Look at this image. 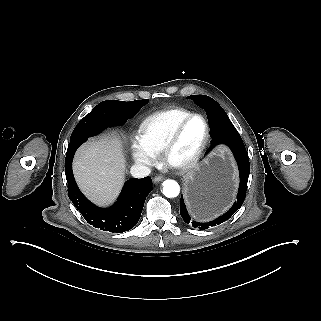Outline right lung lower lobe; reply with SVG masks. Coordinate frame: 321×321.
Returning <instances> with one entry per match:
<instances>
[{"label":"right lung lower lobe","instance_id":"obj_1","mask_svg":"<svg viewBox=\"0 0 321 321\" xmlns=\"http://www.w3.org/2000/svg\"><path fill=\"white\" fill-rule=\"evenodd\" d=\"M141 108L131 102L104 101L98 105L96 115L107 127L121 125L132 118ZM88 139L83 136L70 140L65 158L68 195L85 220L103 231L121 233L134 227L140 216L147 195L152 191V179L128 180L118 200L108 209L92 204L79 190L72 171V160L77 148Z\"/></svg>","mask_w":321,"mask_h":321}]
</instances>
